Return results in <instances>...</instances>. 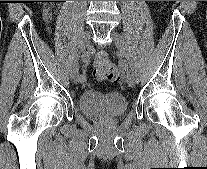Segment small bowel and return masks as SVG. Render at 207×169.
I'll return each mask as SVG.
<instances>
[{
  "mask_svg": "<svg viewBox=\"0 0 207 169\" xmlns=\"http://www.w3.org/2000/svg\"><path fill=\"white\" fill-rule=\"evenodd\" d=\"M42 17L46 23H49V21L51 19V14L47 9H45V10H43Z\"/></svg>",
  "mask_w": 207,
  "mask_h": 169,
  "instance_id": "c3829d8e",
  "label": "small bowel"
}]
</instances>
